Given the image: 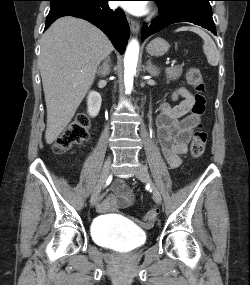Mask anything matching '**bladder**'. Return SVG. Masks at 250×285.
<instances>
[{"mask_svg": "<svg viewBox=\"0 0 250 285\" xmlns=\"http://www.w3.org/2000/svg\"><path fill=\"white\" fill-rule=\"evenodd\" d=\"M91 235L100 246L118 252L133 251L146 242V233L143 229L115 222L108 216L94 220Z\"/></svg>", "mask_w": 250, "mask_h": 285, "instance_id": "1", "label": "bladder"}]
</instances>
